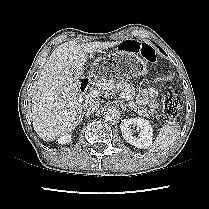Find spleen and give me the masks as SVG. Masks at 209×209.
Segmentation results:
<instances>
[{"mask_svg": "<svg viewBox=\"0 0 209 209\" xmlns=\"http://www.w3.org/2000/svg\"><path fill=\"white\" fill-rule=\"evenodd\" d=\"M180 135V129L175 124H167L160 129L155 141L150 146L151 152H158L169 147Z\"/></svg>", "mask_w": 209, "mask_h": 209, "instance_id": "3e777b00", "label": "spleen"}]
</instances>
